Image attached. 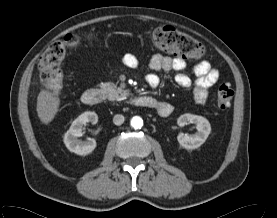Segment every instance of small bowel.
Segmentation results:
<instances>
[{
    "label": "small bowel",
    "instance_id": "small-bowel-1",
    "mask_svg": "<svg viewBox=\"0 0 277 218\" xmlns=\"http://www.w3.org/2000/svg\"><path fill=\"white\" fill-rule=\"evenodd\" d=\"M123 63L129 68H135L138 65V59L133 54H126L123 57ZM149 66L154 71H177L178 73L175 76L176 83L182 88L193 87V97L198 104H205L207 102L208 89L219 79L218 70L212 68L210 63L206 60L194 66V80L183 72L186 68V62L180 57L154 54L150 59ZM145 80L146 83L153 88L157 87L160 82L159 77L154 73L147 74ZM162 103H164V106L158 109V113L160 115H166L165 105L170 106L171 112V105L167 102Z\"/></svg>",
    "mask_w": 277,
    "mask_h": 218
}]
</instances>
